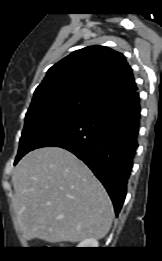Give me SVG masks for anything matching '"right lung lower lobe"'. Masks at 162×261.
<instances>
[{
	"mask_svg": "<svg viewBox=\"0 0 162 261\" xmlns=\"http://www.w3.org/2000/svg\"><path fill=\"white\" fill-rule=\"evenodd\" d=\"M140 110L137 90L112 97L56 128L35 149L57 146L74 153L102 182L118 215L138 147Z\"/></svg>",
	"mask_w": 162,
	"mask_h": 261,
	"instance_id": "98d812e1",
	"label": "right lung lower lobe"
}]
</instances>
